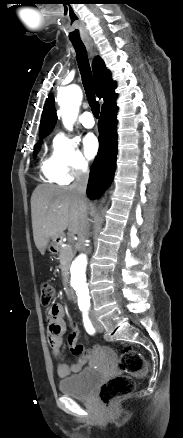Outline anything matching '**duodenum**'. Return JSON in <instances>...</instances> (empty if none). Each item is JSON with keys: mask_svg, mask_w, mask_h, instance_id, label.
I'll return each instance as SVG.
<instances>
[{"mask_svg": "<svg viewBox=\"0 0 183 438\" xmlns=\"http://www.w3.org/2000/svg\"><path fill=\"white\" fill-rule=\"evenodd\" d=\"M68 295L71 301H76V295L72 288L67 287Z\"/></svg>", "mask_w": 183, "mask_h": 438, "instance_id": "410a0bca", "label": "duodenum"}]
</instances>
